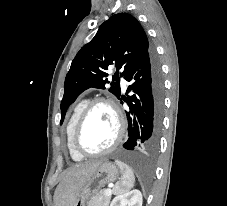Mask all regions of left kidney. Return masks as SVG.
<instances>
[{"instance_id": "obj_1", "label": "left kidney", "mask_w": 227, "mask_h": 206, "mask_svg": "<svg viewBox=\"0 0 227 206\" xmlns=\"http://www.w3.org/2000/svg\"><path fill=\"white\" fill-rule=\"evenodd\" d=\"M142 194L139 190H132L117 195L110 206H142Z\"/></svg>"}]
</instances>
